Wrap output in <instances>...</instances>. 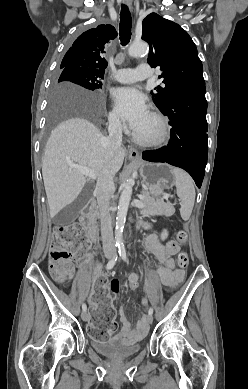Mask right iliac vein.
I'll list each match as a JSON object with an SVG mask.
<instances>
[{
  "mask_svg": "<svg viewBox=\"0 0 248 389\" xmlns=\"http://www.w3.org/2000/svg\"><path fill=\"white\" fill-rule=\"evenodd\" d=\"M81 318H82L83 321H88L89 318H90L89 313L83 311L82 314H81Z\"/></svg>",
  "mask_w": 248,
  "mask_h": 389,
  "instance_id": "right-iliac-vein-1",
  "label": "right iliac vein"
}]
</instances>
